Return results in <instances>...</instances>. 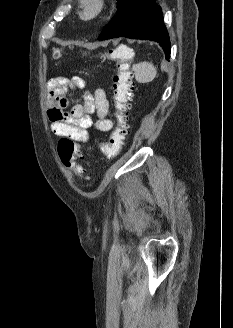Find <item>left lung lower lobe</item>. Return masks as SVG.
I'll return each instance as SVG.
<instances>
[{"label":"left lung lower lobe","mask_w":233,"mask_h":328,"mask_svg":"<svg viewBox=\"0 0 233 328\" xmlns=\"http://www.w3.org/2000/svg\"><path fill=\"white\" fill-rule=\"evenodd\" d=\"M117 37L156 41L161 44L166 59L170 58V39L161 8L154 0H126L98 38Z\"/></svg>","instance_id":"1"}]
</instances>
